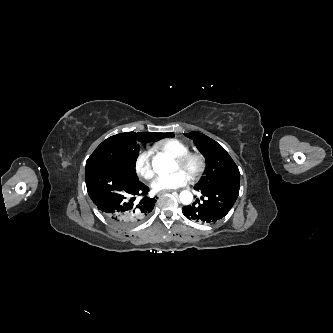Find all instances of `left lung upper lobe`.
<instances>
[{
	"mask_svg": "<svg viewBox=\"0 0 333 333\" xmlns=\"http://www.w3.org/2000/svg\"><path fill=\"white\" fill-rule=\"evenodd\" d=\"M184 135L194 141L196 147L206 160L207 166L204 176L195 185L196 188H210L233 182L240 183L238 167L219 143L196 131L185 133ZM227 200V194L217 199L218 202H225Z\"/></svg>",
	"mask_w": 333,
	"mask_h": 333,
	"instance_id": "left-lung-upper-lobe-1",
	"label": "left lung upper lobe"
}]
</instances>
